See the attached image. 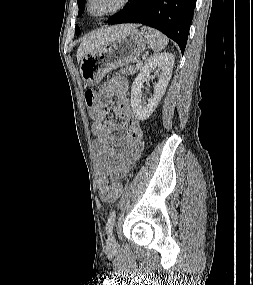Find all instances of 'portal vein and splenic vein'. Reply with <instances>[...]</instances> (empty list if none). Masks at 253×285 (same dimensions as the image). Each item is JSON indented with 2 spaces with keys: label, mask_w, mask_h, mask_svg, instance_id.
Here are the masks:
<instances>
[{
  "label": "portal vein and splenic vein",
  "mask_w": 253,
  "mask_h": 285,
  "mask_svg": "<svg viewBox=\"0 0 253 285\" xmlns=\"http://www.w3.org/2000/svg\"><path fill=\"white\" fill-rule=\"evenodd\" d=\"M141 65H142V63H141V62H138V63L136 64V67L139 69V68H141Z\"/></svg>",
  "instance_id": "18ae733b"
}]
</instances>
